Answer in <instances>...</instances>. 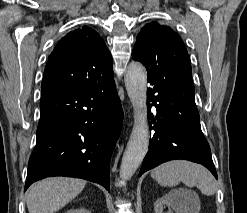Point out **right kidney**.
<instances>
[{
  "instance_id": "1",
  "label": "right kidney",
  "mask_w": 247,
  "mask_h": 213,
  "mask_svg": "<svg viewBox=\"0 0 247 213\" xmlns=\"http://www.w3.org/2000/svg\"><path fill=\"white\" fill-rule=\"evenodd\" d=\"M66 213H91V212L81 207L76 209H70Z\"/></svg>"
}]
</instances>
